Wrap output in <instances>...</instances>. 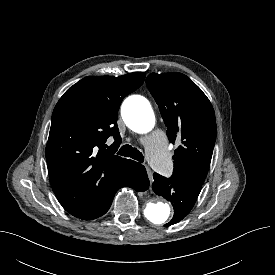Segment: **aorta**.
<instances>
[{
  "label": "aorta",
  "instance_id": "obj_1",
  "mask_svg": "<svg viewBox=\"0 0 275 275\" xmlns=\"http://www.w3.org/2000/svg\"><path fill=\"white\" fill-rule=\"evenodd\" d=\"M126 125L138 133L149 132L155 125V114L150 102L138 95L127 98L121 108ZM147 220L155 226H163L172 216V208L161 201L148 203L144 209Z\"/></svg>",
  "mask_w": 275,
  "mask_h": 275
}]
</instances>
